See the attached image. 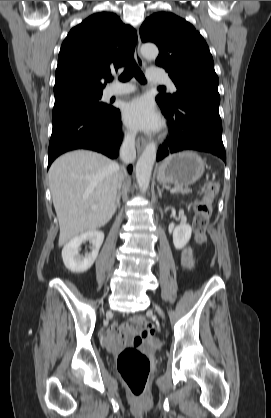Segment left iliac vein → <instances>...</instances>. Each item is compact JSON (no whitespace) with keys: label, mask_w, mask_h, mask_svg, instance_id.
Instances as JSON below:
<instances>
[{"label":"left iliac vein","mask_w":271,"mask_h":418,"mask_svg":"<svg viewBox=\"0 0 271 418\" xmlns=\"http://www.w3.org/2000/svg\"><path fill=\"white\" fill-rule=\"evenodd\" d=\"M155 309H156V311L159 313V315H160L161 317H163V318H164V313H163V311L161 310V308H160L159 306L155 305Z\"/></svg>","instance_id":"4c4485c4"}]
</instances>
